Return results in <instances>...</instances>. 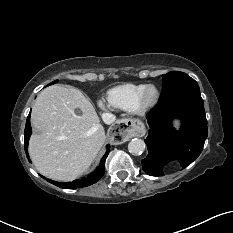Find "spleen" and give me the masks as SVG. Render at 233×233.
Masks as SVG:
<instances>
[{
    "mask_svg": "<svg viewBox=\"0 0 233 233\" xmlns=\"http://www.w3.org/2000/svg\"><path fill=\"white\" fill-rule=\"evenodd\" d=\"M176 127L178 128V123H176Z\"/></svg>",
    "mask_w": 233,
    "mask_h": 233,
    "instance_id": "3e777b00",
    "label": "spleen"
}]
</instances>
